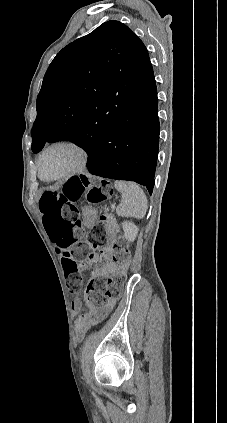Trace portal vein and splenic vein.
Wrapping results in <instances>:
<instances>
[{"instance_id": "portal-vein-and-splenic-vein-1", "label": "portal vein and splenic vein", "mask_w": 227, "mask_h": 423, "mask_svg": "<svg viewBox=\"0 0 227 423\" xmlns=\"http://www.w3.org/2000/svg\"><path fill=\"white\" fill-rule=\"evenodd\" d=\"M117 203H121V200H117ZM111 209H112V210H115V209H116V206H115V205H112V206H111Z\"/></svg>"}]
</instances>
